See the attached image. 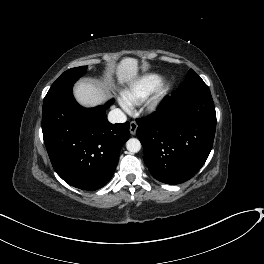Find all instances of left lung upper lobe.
Wrapping results in <instances>:
<instances>
[{
    "instance_id": "obj_1",
    "label": "left lung upper lobe",
    "mask_w": 264,
    "mask_h": 264,
    "mask_svg": "<svg viewBox=\"0 0 264 264\" xmlns=\"http://www.w3.org/2000/svg\"><path fill=\"white\" fill-rule=\"evenodd\" d=\"M206 85L204 81L194 72L192 69H190L186 75V79L184 82L179 86L178 89H183L190 86H201Z\"/></svg>"
}]
</instances>
